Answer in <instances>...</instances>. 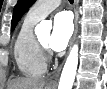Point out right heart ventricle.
I'll return each instance as SVG.
<instances>
[{"instance_id":"e07e8e85","label":"right heart ventricle","mask_w":107,"mask_h":89,"mask_svg":"<svg viewBox=\"0 0 107 89\" xmlns=\"http://www.w3.org/2000/svg\"><path fill=\"white\" fill-rule=\"evenodd\" d=\"M39 19L27 14L14 42L13 55L18 70L27 77H40L46 71V62L39 51L34 33Z\"/></svg>"}]
</instances>
